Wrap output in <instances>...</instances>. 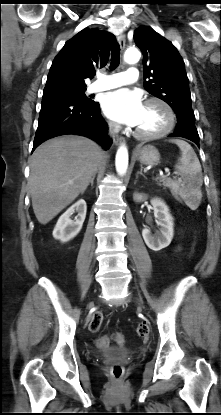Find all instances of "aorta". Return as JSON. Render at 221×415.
Instances as JSON below:
<instances>
[{"instance_id": "762f6f07", "label": "aorta", "mask_w": 221, "mask_h": 415, "mask_svg": "<svg viewBox=\"0 0 221 415\" xmlns=\"http://www.w3.org/2000/svg\"><path fill=\"white\" fill-rule=\"evenodd\" d=\"M141 53L138 49H127L124 54V60L128 64H135L139 61ZM116 171L120 176H124L128 168V150L125 145L119 147L115 159Z\"/></svg>"}]
</instances>
